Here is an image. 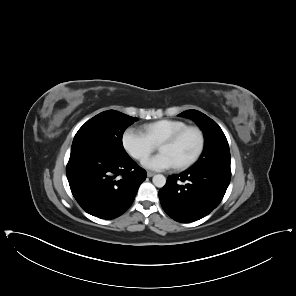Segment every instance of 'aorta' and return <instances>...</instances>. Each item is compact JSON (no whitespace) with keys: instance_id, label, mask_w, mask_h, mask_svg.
<instances>
[{"instance_id":"obj_1","label":"aorta","mask_w":296,"mask_h":296,"mask_svg":"<svg viewBox=\"0 0 296 296\" xmlns=\"http://www.w3.org/2000/svg\"><path fill=\"white\" fill-rule=\"evenodd\" d=\"M152 181H153V184L158 188H162L166 184V178L162 174L154 175Z\"/></svg>"}]
</instances>
